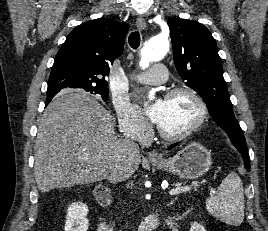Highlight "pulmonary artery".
<instances>
[{
    "label": "pulmonary artery",
    "instance_id": "e3ab8cb5",
    "mask_svg": "<svg viewBox=\"0 0 268 231\" xmlns=\"http://www.w3.org/2000/svg\"><path fill=\"white\" fill-rule=\"evenodd\" d=\"M167 69L164 65L155 66L152 70L138 75L135 79L140 83L160 84L166 80Z\"/></svg>",
    "mask_w": 268,
    "mask_h": 231
}]
</instances>
